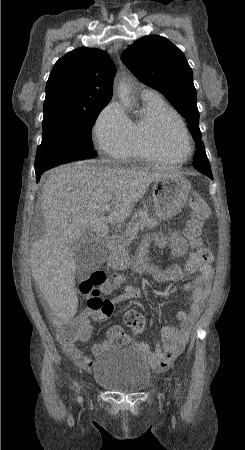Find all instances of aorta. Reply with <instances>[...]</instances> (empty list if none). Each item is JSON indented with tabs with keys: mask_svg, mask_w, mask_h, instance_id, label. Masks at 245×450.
<instances>
[{
	"mask_svg": "<svg viewBox=\"0 0 245 450\" xmlns=\"http://www.w3.org/2000/svg\"><path fill=\"white\" fill-rule=\"evenodd\" d=\"M118 95L123 103H126L129 96V89L128 86L122 82L119 84L117 89Z\"/></svg>",
	"mask_w": 245,
	"mask_h": 450,
	"instance_id": "obj_1",
	"label": "aorta"
}]
</instances>
